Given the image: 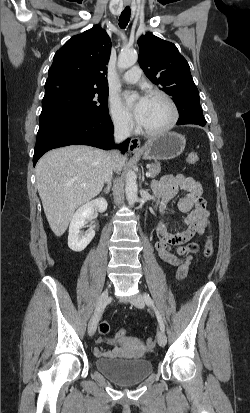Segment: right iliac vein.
I'll return each instance as SVG.
<instances>
[{
    "mask_svg": "<svg viewBox=\"0 0 250 413\" xmlns=\"http://www.w3.org/2000/svg\"><path fill=\"white\" fill-rule=\"evenodd\" d=\"M109 301V291L106 289L99 297L95 311L90 319L88 325V333L90 336H93L96 332V328L100 317Z\"/></svg>",
    "mask_w": 250,
    "mask_h": 413,
    "instance_id": "63e3f726",
    "label": "right iliac vein"
}]
</instances>
